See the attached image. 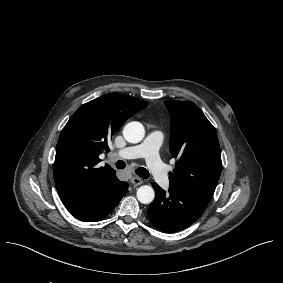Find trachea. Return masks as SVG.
<instances>
[{
  "label": "trachea",
  "mask_w": 283,
  "mask_h": 283,
  "mask_svg": "<svg viewBox=\"0 0 283 283\" xmlns=\"http://www.w3.org/2000/svg\"><path fill=\"white\" fill-rule=\"evenodd\" d=\"M115 166L117 169H124L126 167V164L124 161L122 160H118L116 163H115ZM135 173L140 176L141 178H144V179H147L149 178L150 174L148 172L147 169L143 168V167H139L135 170Z\"/></svg>",
  "instance_id": "1"
}]
</instances>
